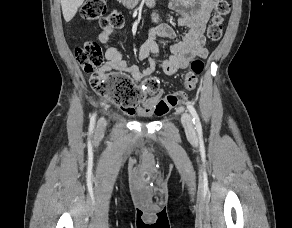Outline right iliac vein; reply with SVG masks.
Segmentation results:
<instances>
[{
    "label": "right iliac vein",
    "instance_id": "1",
    "mask_svg": "<svg viewBox=\"0 0 292 228\" xmlns=\"http://www.w3.org/2000/svg\"><path fill=\"white\" fill-rule=\"evenodd\" d=\"M105 127H106V120L104 118H100L98 120L96 134L101 135L104 132Z\"/></svg>",
    "mask_w": 292,
    "mask_h": 228
}]
</instances>
